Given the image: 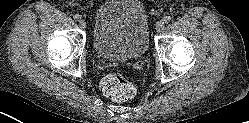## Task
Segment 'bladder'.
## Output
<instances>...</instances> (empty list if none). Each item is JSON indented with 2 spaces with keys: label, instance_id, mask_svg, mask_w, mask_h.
<instances>
[{
  "label": "bladder",
  "instance_id": "obj_1",
  "mask_svg": "<svg viewBox=\"0 0 249 123\" xmlns=\"http://www.w3.org/2000/svg\"><path fill=\"white\" fill-rule=\"evenodd\" d=\"M93 48L109 60L141 57L149 45V20L140 0H105L97 9Z\"/></svg>",
  "mask_w": 249,
  "mask_h": 123
}]
</instances>
